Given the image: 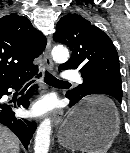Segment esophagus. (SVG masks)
<instances>
[{"label": "esophagus", "mask_w": 130, "mask_h": 153, "mask_svg": "<svg viewBox=\"0 0 130 153\" xmlns=\"http://www.w3.org/2000/svg\"><path fill=\"white\" fill-rule=\"evenodd\" d=\"M43 60H44V66L47 70H52L53 69V61L51 58V41L48 40L47 42V46L44 52V56H43ZM63 110L62 109H56L54 111V115H53V122L55 125L59 124L62 121L63 118Z\"/></svg>", "instance_id": "obj_1"}]
</instances>
